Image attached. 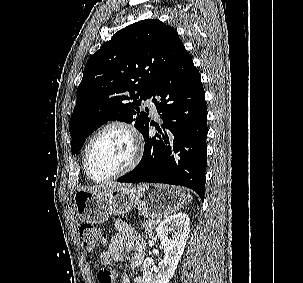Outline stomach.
<instances>
[{
  "label": "stomach",
  "mask_w": 303,
  "mask_h": 283,
  "mask_svg": "<svg viewBox=\"0 0 303 283\" xmlns=\"http://www.w3.org/2000/svg\"><path fill=\"white\" fill-rule=\"evenodd\" d=\"M185 199L180 187L141 184L117 187L101 194L81 190L74 195V206L82 223L101 224L111 215L123 216L133 208L145 218H163L181 209Z\"/></svg>",
  "instance_id": "1"
}]
</instances>
